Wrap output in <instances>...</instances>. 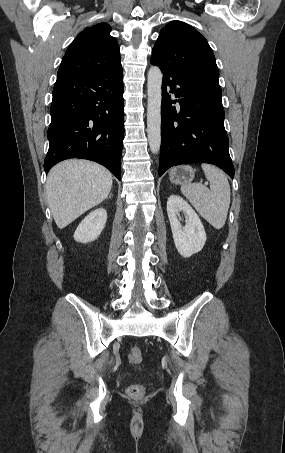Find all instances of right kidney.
<instances>
[{"label":"right kidney","instance_id":"right-kidney-1","mask_svg":"<svg viewBox=\"0 0 285 453\" xmlns=\"http://www.w3.org/2000/svg\"><path fill=\"white\" fill-rule=\"evenodd\" d=\"M106 220L107 212L104 208H98L89 213L75 230V241L88 243L96 240L103 231Z\"/></svg>","mask_w":285,"mask_h":453}]
</instances>
